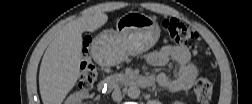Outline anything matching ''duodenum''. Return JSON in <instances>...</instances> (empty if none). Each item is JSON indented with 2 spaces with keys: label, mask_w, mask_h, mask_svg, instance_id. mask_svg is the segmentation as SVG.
<instances>
[{
  "label": "duodenum",
  "mask_w": 252,
  "mask_h": 104,
  "mask_svg": "<svg viewBox=\"0 0 252 104\" xmlns=\"http://www.w3.org/2000/svg\"><path fill=\"white\" fill-rule=\"evenodd\" d=\"M120 82L129 86L149 88L153 85L154 80L152 77L142 75H113L111 77L101 80L99 83V89L102 92H106L112 89L113 87H116Z\"/></svg>",
  "instance_id": "obj_1"
}]
</instances>
